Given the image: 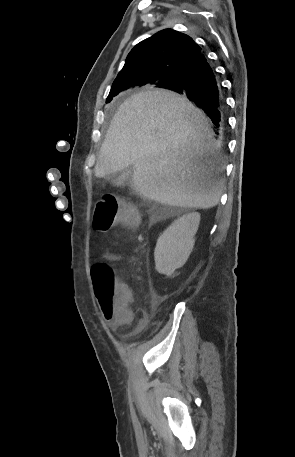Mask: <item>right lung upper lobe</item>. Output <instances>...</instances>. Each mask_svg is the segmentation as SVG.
<instances>
[{"label": "right lung upper lobe", "mask_w": 295, "mask_h": 457, "mask_svg": "<svg viewBox=\"0 0 295 457\" xmlns=\"http://www.w3.org/2000/svg\"><path fill=\"white\" fill-rule=\"evenodd\" d=\"M199 55L201 48L191 37L164 29L130 51L112 88L133 84L160 86L174 80L183 67ZM127 88L130 87H122L120 92Z\"/></svg>", "instance_id": "right-lung-upper-lobe-1"}]
</instances>
